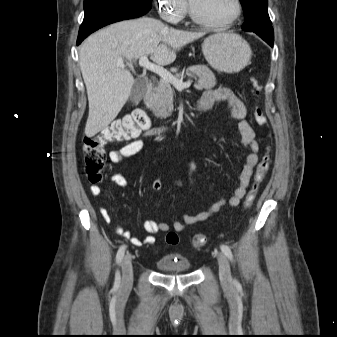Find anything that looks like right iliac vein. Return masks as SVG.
Wrapping results in <instances>:
<instances>
[{
    "label": "right iliac vein",
    "mask_w": 337,
    "mask_h": 337,
    "mask_svg": "<svg viewBox=\"0 0 337 337\" xmlns=\"http://www.w3.org/2000/svg\"><path fill=\"white\" fill-rule=\"evenodd\" d=\"M133 280L132 256L127 254L122 261V283L120 296L125 297L130 292Z\"/></svg>",
    "instance_id": "obj_1"
}]
</instances>
